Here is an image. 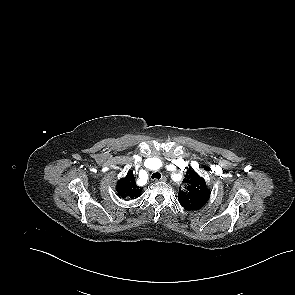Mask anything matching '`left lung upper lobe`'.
<instances>
[{
  "instance_id": "5c2ea615",
  "label": "left lung upper lobe",
  "mask_w": 295,
  "mask_h": 295,
  "mask_svg": "<svg viewBox=\"0 0 295 295\" xmlns=\"http://www.w3.org/2000/svg\"><path fill=\"white\" fill-rule=\"evenodd\" d=\"M185 190L179 189L178 201L187 210H198L203 207L210 197V190L205 180L192 169L187 170L183 181Z\"/></svg>"
}]
</instances>
